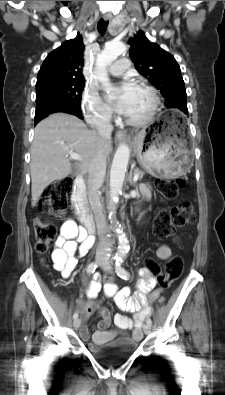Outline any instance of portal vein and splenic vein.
<instances>
[{"label":"portal vein and splenic vein","instance_id":"18ae733b","mask_svg":"<svg viewBox=\"0 0 225 395\" xmlns=\"http://www.w3.org/2000/svg\"><path fill=\"white\" fill-rule=\"evenodd\" d=\"M69 155H70V159H73V160H80L81 159V156L79 154L74 153V152H69ZM138 178H139V175L135 174L133 179H134V181H137Z\"/></svg>","mask_w":225,"mask_h":395}]
</instances>
